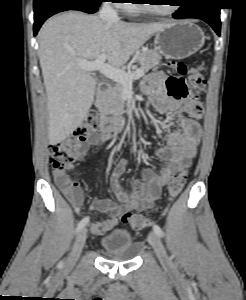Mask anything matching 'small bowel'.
Returning a JSON list of instances; mask_svg holds the SVG:
<instances>
[{
    "mask_svg": "<svg viewBox=\"0 0 246 300\" xmlns=\"http://www.w3.org/2000/svg\"><path fill=\"white\" fill-rule=\"evenodd\" d=\"M186 90L187 84L183 79L166 76L162 72H154L143 81L144 96L159 113L173 117L179 130L165 133L164 144L155 149L162 165L157 172L151 168L142 169L139 177L132 181L131 192H126L120 183L127 161L122 159L114 166L110 182L119 203L110 199L92 201V211L108 215L106 219L91 224L92 233L103 235L109 232L126 211L152 209L173 173L191 164L200 143L201 128L197 117L190 114V108L197 100ZM110 139L109 133L102 132L94 135L89 145L100 146ZM85 155L84 150L79 158ZM53 176L62 193L78 212L84 204V194L79 184L66 172L54 170Z\"/></svg>",
    "mask_w": 246,
    "mask_h": 300,
    "instance_id": "1",
    "label": "small bowel"
}]
</instances>
